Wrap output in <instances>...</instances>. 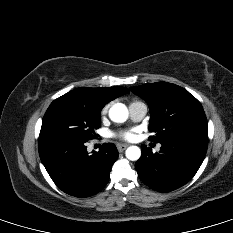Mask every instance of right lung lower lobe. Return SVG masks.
<instances>
[{
	"mask_svg": "<svg viewBox=\"0 0 233 233\" xmlns=\"http://www.w3.org/2000/svg\"><path fill=\"white\" fill-rule=\"evenodd\" d=\"M87 141L63 137L39 139L40 159L54 183L75 197H89L107 184L112 165L118 158L113 143H104L89 155Z\"/></svg>",
	"mask_w": 233,
	"mask_h": 233,
	"instance_id": "98d812e1",
	"label": "right lung lower lobe"
}]
</instances>
